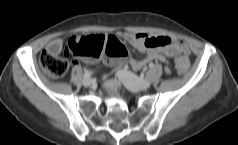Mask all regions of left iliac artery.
I'll return each instance as SVG.
<instances>
[{
    "label": "left iliac artery",
    "mask_w": 238,
    "mask_h": 145,
    "mask_svg": "<svg viewBox=\"0 0 238 145\" xmlns=\"http://www.w3.org/2000/svg\"><path fill=\"white\" fill-rule=\"evenodd\" d=\"M153 66H154L153 63L149 64V68H153Z\"/></svg>",
    "instance_id": "obj_1"
}]
</instances>
